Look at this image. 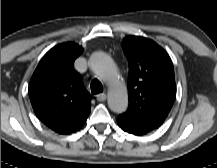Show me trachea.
I'll return each instance as SVG.
<instances>
[{
  "mask_svg": "<svg viewBox=\"0 0 217 168\" xmlns=\"http://www.w3.org/2000/svg\"><path fill=\"white\" fill-rule=\"evenodd\" d=\"M92 94H98L103 92V86L98 79H93L90 84Z\"/></svg>",
  "mask_w": 217,
  "mask_h": 168,
  "instance_id": "3493384b",
  "label": "trachea"
}]
</instances>
